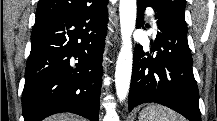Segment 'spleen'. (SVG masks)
<instances>
[{
  "instance_id": "obj_1",
  "label": "spleen",
  "mask_w": 217,
  "mask_h": 121,
  "mask_svg": "<svg viewBox=\"0 0 217 121\" xmlns=\"http://www.w3.org/2000/svg\"><path fill=\"white\" fill-rule=\"evenodd\" d=\"M139 121H184L175 112L161 105H149L140 113Z\"/></svg>"
}]
</instances>
